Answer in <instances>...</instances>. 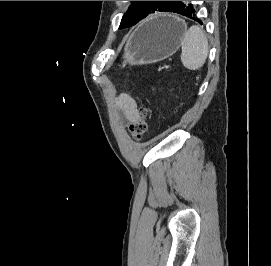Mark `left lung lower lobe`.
<instances>
[{"label":"left lung lower lobe","instance_id":"left-lung-lower-lobe-1","mask_svg":"<svg viewBox=\"0 0 271 266\" xmlns=\"http://www.w3.org/2000/svg\"><path fill=\"white\" fill-rule=\"evenodd\" d=\"M168 12L181 14L202 24L201 20L196 17V10L190 1H177Z\"/></svg>","mask_w":271,"mask_h":266}]
</instances>
